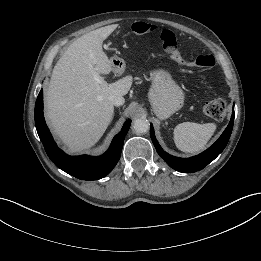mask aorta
I'll return each instance as SVG.
<instances>
[{"label":"aorta","mask_w":261,"mask_h":261,"mask_svg":"<svg viewBox=\"0 0 261 261\" xmlns=\"http://www.w3.org/2000/svg\"><path fill=\"white\" fill-rule=\"evenodd\" d=\"M133 129L136 133H146L149 130V122L145 118H137L133 122Z\"/></svg>","instance_id":"obj_1"}]
</instances>
